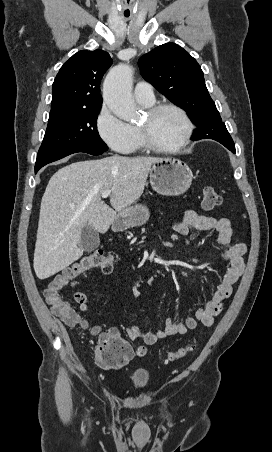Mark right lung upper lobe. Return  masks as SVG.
I'll return each instance as SVG.
<instances>
[{
	"mask_svg": "<svg viewBox=\"0 0 272 452\" xmlns=\"http://www.w3.org/2000/svg\"><path fill=\"white\" fill-rule=\"evenodd\" d=\"M111 64L110 55L103 50L74 54L63 64L53 82L50 114L100 108V82Z\"/></svg>",
	"mask_w": 272,
	"mask_h": 452,
	"instance_id": "obj_1",
	"label": "right lung upper lobe"
}]
</instances>
